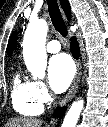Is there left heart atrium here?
Here are the masks:
<instances>
[{
    "instance_id": "39dd6f15",
    "label": "left heart atrium",
    "mask_w": 108,
    "mask_h": 127,
    "mask_svg": "<svg viewBox=\"0 0 108 127\" xmlns=\"http://www.w3.org/2000/svg\"><path fill=\"white\" fill-rule=\"evenodd\" d=\"M75 74V67L71 58L66 54L55 55L50 59L48 77L54 91H65L71 84Z\"/></svg>"
}]
</instances>
